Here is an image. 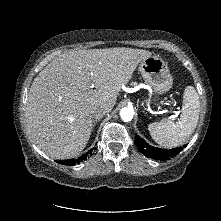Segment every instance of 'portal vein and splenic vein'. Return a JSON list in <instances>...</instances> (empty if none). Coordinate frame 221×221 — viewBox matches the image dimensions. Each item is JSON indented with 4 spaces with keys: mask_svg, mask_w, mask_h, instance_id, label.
Instances as JSON below:
<instances>
[{
    "mask_svg": "<svg viewBox=\"0 0 221 221\" xmlns=\"http://www.w3.org/2000/svg\"><path fill=\"white\" fill-rule=\"evenodd\" d=\"M165 112H171V113H176V111H173V110H164ZM177 115H174V116H171V118L173 119V118H175Z\"/></svg>",
    "mask_w": 221,
    "mask_h": 221,
    "instance_id": "18ae733b",
    "label": "portal vein and splenic vein"
}]
</instances>
